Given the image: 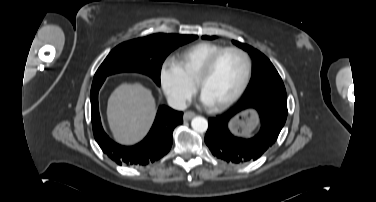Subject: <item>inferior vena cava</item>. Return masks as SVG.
Masks as SVG:
<instances>
[{
	"instance_id": "obj_1",
	"label": "inferior vena cava",
	"mask_w": 376,
	"mask_h": 202,
	"mask_svg": "<svg viewBox=\"0 0 376 202\" xmlns=\"http://www.w3.org/2000/svg\"><path fill=\"white\" fill-rule=\"evenodd\" d=\"M167 102L175 110L184 111L187 108L186 100L181 96H169Z\"/></svg>"
}]
</instances>
